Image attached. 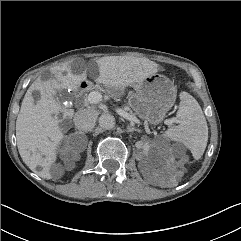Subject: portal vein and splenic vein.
I'll list each match as a JSON object with an SVG mask.
<instances>
[{"label": "portal vein and splenic vein", "mask_w": 241, "mask_h": 241, "mask_svg": "<svg viewBox=\"0 0 241 241\" xmlns=\"http://www.w3.org/2000/svg\"><path fill=\"white\" fill-rule=\"evenodd\" d=\"M101 100H102V95H101V93L96 92V91H93V92H90V93H89V101H90V103L97 104V103H99ZM117 112H118V114H119L120 116H122L123 118H125V119H127V120L136 121V118H135L133 115L125 112V111L122 110V109H119ZM174 122H175L174 119H167V120H165L164 123L167 124V125H172Z\"/></svg>", "instance_id": "18ae733b"}]
</instances>
